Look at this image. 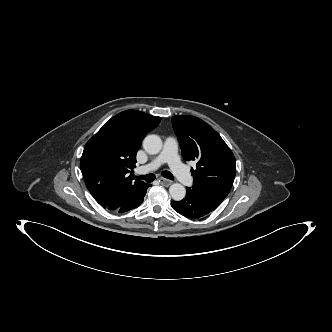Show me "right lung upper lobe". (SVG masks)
<instances>
[{
  "instance_id": "cb5924a9",
  "label": "right lung upper lobe",
  "mask_w": 332,
  "mask_h": 332,
  "mask_svg": "<svg viewBox=\"0 0 332 332\" xmlns=\"http://www.w3.org/2000/svg\"><path fill=\"white\" fill-rule=\"evenodd\" d=\"M161 121L136 110L123 111L86 143L80 168L86 186L102 206L125 200L145 183L133 181L136 153L145 135Z\"/></svg>"
}]
</instances>
